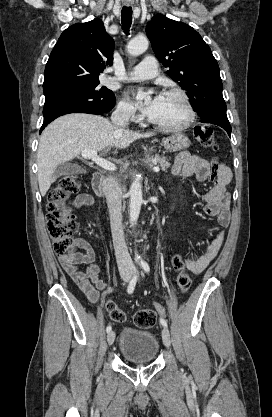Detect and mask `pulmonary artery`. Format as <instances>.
Returning <instances> with one entry per match:
<instances>
[{"mask_svg":"<svg viewBox=\"0 0 272 417\" xmlns=\"http://www.w3.org/2000/svg\"><path fill=\"white\" fill-rule=\"evenodd\" d=\"M157 74L158 66L155 58L152 56H146L143 61L132 70L122 76H117L114 79L139 81L154 78Z\"/></svg>","mask_w":272,"mask_h":417,"instance_id":"pulmonary-artery-1","label":"pulmonary artery"}]
</instances>
